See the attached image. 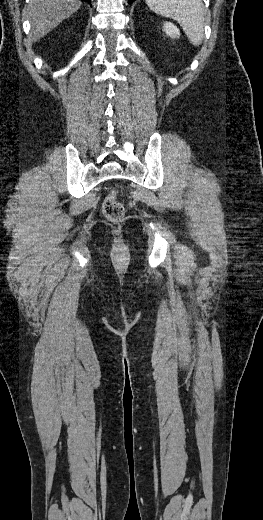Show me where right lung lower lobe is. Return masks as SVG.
Wrapping results in <instances>:
<instances>
[{"label":"right lung lower lobe","mask_w":263,"mask_h":520,"mask_svg":"<svg viewBox=\"0 0 263 520\" xmlns=\"http://www.w3.org/2000/svg\"><path fill=\"white\" fill-rule=\"evenodd\" d=\"M83 1H86V2H88V3H90V2H91V0H83Z\"/></svg>","instance_id":"98d812e1"}]
</instances>
